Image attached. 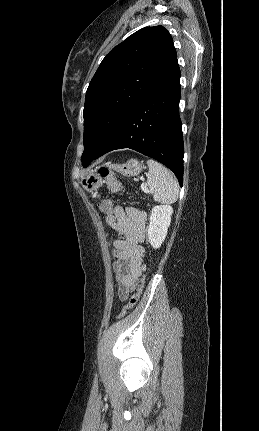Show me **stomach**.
<instances>
[{"label":"stomach","mask_w":259,"mask_h":431,"mask_svg":"<svg viewBox=\"0 0 259 431\" xmlns=\"http://www.w3.org/2000/svg\"><path fill=\"white\" fill-rule=\"evenodd\" d=\"M109 167L126 177L137 176L143 168L142 162H139L137 159H130L124 164H112ZM103 182L100 174L96 170H92L82 175L80 183L87 192H93L97 190Z\"/></svg>","instance_id":"stomach-1"}]
</instances>
